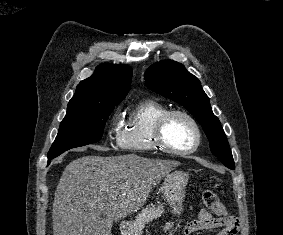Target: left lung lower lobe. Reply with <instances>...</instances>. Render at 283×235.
<instances>
[{"label":"left lung lower lobe","mask_w":283,"mask_h":235,"mask_svg":"<svg viewBox=\"0 0 283 235\" xmlns=\"http://www.w3.org/2000/svg\"><path fill=\"white\" fill-rule=\"evenodd\" d=\"M219 160L229 169H234L235 168V164H234V160H226L223 158H219Z\"/></svg>","instance_id":"1"}]
</instances>
